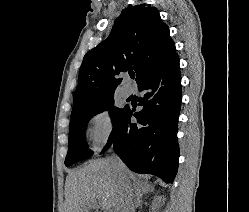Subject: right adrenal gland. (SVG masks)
Segmentation results:
<instances>
[{
	"mask_svg": "<svg viewBox=\"0 0 249 212\" xmlns=\"http://www.w3.org/2000/svg\"><path fill=\"white\" fill-rule=\"evenodd\" d=\"M133 190L134 192H136L134 196L135 202L133 206V212H135L136 208H139V206H141L143 194H148V192H139V190H136L135 186H133Z\"/></svg>",
	"mask_w": 249,
	"mask_h": 212,
	"instance_id": "obj_1",
	"label": "right adrenal gland"
}]
</instances>
